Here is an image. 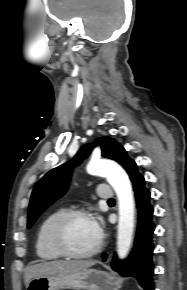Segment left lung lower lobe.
Wrapping results in <instances>:
<instances>
[{
  "mask_svg": "<svg viewBox=\"0 0 187 290\" xmlns=\"http://www.w3.org/2000/svg\"><path fill=\"white\" fill-rule=\"evenodd\" d=\"M132 183L138 209V228L135 245L127 260L120 261L114 256L111 267L123 277L136 278L144 290H153V207L150 205V192L145 188L144 177L140 175ZM106 257V255H103L104 260Z\"/></svg>",
  "mask_w": 187,
  "mask_h": 290,
  "instance_id": "0a47b994",
  "label": "left lung lower lobe"
}]
</instances>
